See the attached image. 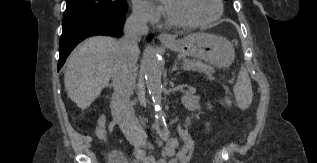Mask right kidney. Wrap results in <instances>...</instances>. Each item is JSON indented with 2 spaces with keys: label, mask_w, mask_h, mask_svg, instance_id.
Listing matches in <instances>:
<instances>
[{
  "label": "right kidney",
  "mask_w": 317,
  "mask_h": 163,
  "mask_svg": "<svg viewBox=\"0 0 317 163\" xmlns=\"http://www.w3.org/2000/svg\"><path fill=\"white\" fill-rule=\"evenodd\" d=\"M105 124H106V118L104 115H102L99 120H98V125L95 129V134L96 136L103 140L104 142L106 141V130H105Z\"/></svg>",
  "instance_id": "right-kidney-1"
}]
</instances>
